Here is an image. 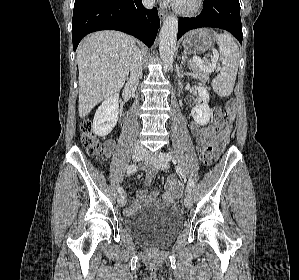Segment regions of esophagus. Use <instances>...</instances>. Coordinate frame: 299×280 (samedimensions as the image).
<instances>
[{
	"label": "esophagus",
	"instance_id": "esophagus-1",
	"mask_svg": "<svg viewBox=\"0 0 299 280\" xmlns=\"http://www.w3.org/2000/svg\"><path fill=\"white\" fill-rule=\"evenodd\" d=\"M158 15H159V18L161 20H164L166 18V16H167V14L165 13V11H163V10H159L158 11Z\"/></svg>",
	"mask_w": 299,
	"mask_h": 280
}]
</instances>
